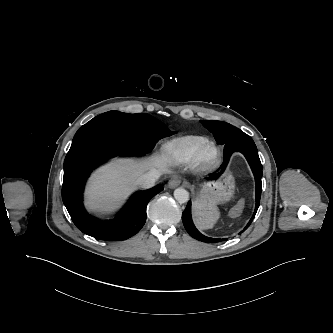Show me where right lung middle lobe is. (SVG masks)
<instances>
[{"label": "right lung middle lobe", "instance_id": "right-lung-middle-lobe-1", "mask_svg": "<svg viewBox=\"0 0 333 333\" xmlns=\"http://www.w3.org/2000/svg\"><path fill=\"white\" fill-rule=\"evenodd\" d=\"M173 133L175 132L148 114L109 111L83 125L75 134L73 141L91 134H105L148 153L159 139Z\"/></svg>", "mask_w": 333, "mask_h": 333}]
</instances>
